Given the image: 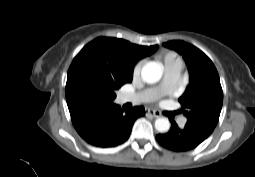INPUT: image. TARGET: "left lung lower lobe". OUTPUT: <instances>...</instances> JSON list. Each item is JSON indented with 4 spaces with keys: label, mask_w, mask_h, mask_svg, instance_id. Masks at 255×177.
I'll return each mask as SVG.
<instances>
[{
    "label": "left lung lower lobe",
    "mask_w": 255,
    "mask_h": 177,
    "mask_svg": "<svg viewBox=\"0 0 255 177\" xmlns=\"http://www.w3.org/2000/svg\"><path fill=\"white\" fill-rule=\"evenodd\" d=\"M211 133L190 126L186 123L184 128H179L175 122L171 121V128L166 134H158L157 141L165 148L183 152L194 149L202 143Z\"/></svg>",
    "instance_id": "left-lung-lower-lobe-1"
}]
</instances>
